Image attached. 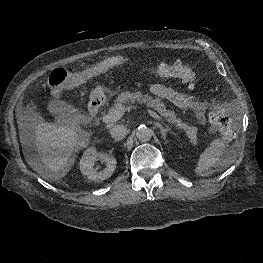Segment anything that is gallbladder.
<instances>
[{
	"mask_svg": "<svg viewBox=\"0 0 263 263\" xmlns=\"http://www.w3.org/2000/svg\"><path fill=\"white\" fill-rule=\"evenodd\" d=\"M47 109L58 123H72L78 119V114L75 110L63 100L49 101Z\"/></svg>",
	"mask_w": 263,
	"mask_h": 263,
	"instance_id": "gallbladder-1",
	"label": "gallbladder"
}]
</instances>
